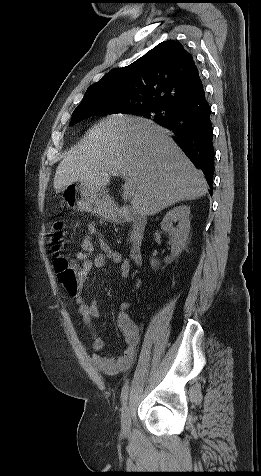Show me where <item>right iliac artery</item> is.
Returning a JSON list of instances; mask_svg holds the SVG:
<instances>
[{
  "label": "right iliac artery",
  "instance_id": "right-iliac-artery-1",
  "mask_svg": "<svg viewBox=\"0 0 261 476\" xmlns=\"http://www.w3.org/2000/svg\"><path fill=\"white\" fill-rule=\"evenodd\" d=\"M128 392H129V385H128V383H126V384L123 386L122 392H121V400H122L123 405H125V403H126V401H127Z\"/></svg>",
  "mask_w": 261,
  "mask_h": 476
}]
</instances>
